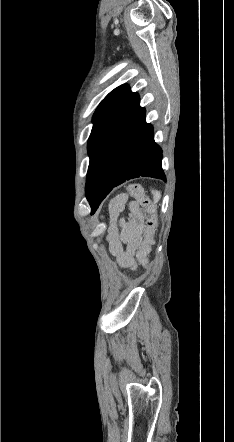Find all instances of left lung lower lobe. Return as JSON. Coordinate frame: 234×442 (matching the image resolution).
Masks as SVG:
<instances>
[{
  "label": "left lung lower lobe",
  "instance_id": "1",
  "mask_svg": "<svg viewBox=\"0 0 234 442\" xmlns=\"http://www.w3.org/2000/svg\"><path fill=\"white\" fill-rule=\"evenodd\" d=\"M139 102V95L129 90L90 135L86 195L92 212L113 187L126 180L139 176L166 180L162 150Z\"/></svg>",
  "mask_w": 234,
  "mask_h": 442
}]
</instances>
